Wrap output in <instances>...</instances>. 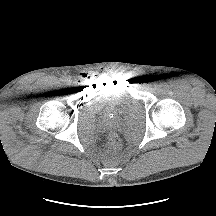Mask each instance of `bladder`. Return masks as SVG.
I'll use <instances>...</instances> for the list:
<instances>
[{
  "instance_id": "bladder-1",
  "label": "bladder",
  "mask_w": 216,
  "mask_h": 216,
  "mask_svg": "<svg viewBox=\"0 0 216 216\" xmlns=\"http://www.w3.org/2000/svg\"><path fill=\"white\" fill-rule=\"evenodd\" d=\"M132 97L126 92H103L93 98V105L105 111H121L132 104Z\"/></svg>"
}]
</instances>
